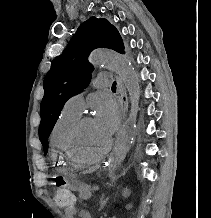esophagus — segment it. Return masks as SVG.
I'll return each instance as SVG.
<instances>
[{
	"mask_svg": "<svg viewBox=\"0 0 211 218\" xmlns=\"http://www.w3.org/2000/svg\"><path fill=\"white\" fill-rule=\"evenodd\" d=\"M118 86L119 88H122L123 83L120 79L117 80ZM121 93V99L123 101V103H125V105L123 106L125 109H127L129 106L127 105V102L129 101L127 98H129V93H127V89H121L119 91ZM123 110L122 112L124 113L123 115L126 117L128 114L126 113V110ZM113 159V156L111 155V153H108V155L106 156V159L102 160V168L101 171L102 172H109L110 171V167H111V160Z\"/></svg>",
	"mask_w": 211,
	"mask_h": 218,
	"instance_id": "esophagus-1",
	"label": "esophagus"
}]
</instances>
